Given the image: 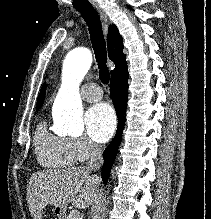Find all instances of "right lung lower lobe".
Returning <instances> with one entry per match:
<instances>
[{
	"label": "right lung lower lobe",
	"mask_w": 211,
	"mask_h": 219,
	"mask_svg": "<svg viewBox=\"0 0 211 219\" xmlns=\"http://www.w3.org/2000/svg\"><path fill=\"white\" fill-rule=\"evenodd\" d=\"M128 78L129 74L127 67L111 76L110 96L117 113L118 128L115 137L103 153L104 164L102 167V180L105 184L108 181L112 164L115 160L118 147L122 139L128 97Z\"/></svg>",
	"instance_id": "1"
}]
</instances>
